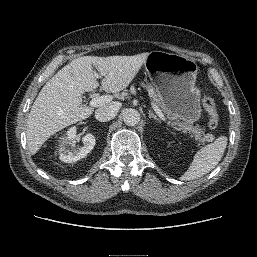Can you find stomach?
I'll return each mask as SVG.
<instances>
[{
	"label": "stomach",
	"instance_id": "obj_1",
	"mask_svg": "<svg viewBox=\"0 0 257 257\" xmlns=\"http://www.w3.org/2000/svg\"><path fill=\"white\" fill-rule=\"evenodd\" d=\"M146 72L168 110L178 120L193 124L202 116L201 91L196 87L198 66L185 55L152 51Z\"/></svg>",
	"mask_w": 257,
	"mask_h": 257
}]
</instances>
